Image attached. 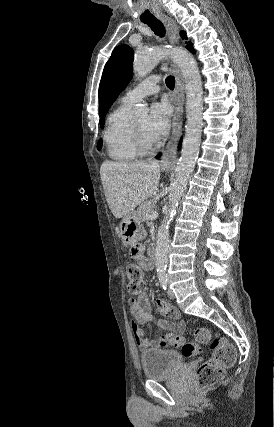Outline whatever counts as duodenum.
Segmentation results:
<instances>
[{"label":"duodenum","mask_w":274,"mask_h":427,"mask_svg":"<svg viewBox=\"0 0 274 427\" xmlns=\"http://www.w3.org/2000/svg\"><path fill=\"white\" fill-rule=\"evenodd\" d=\"M149 254H150L151 257L155 256V254H156V247L154 245L150 247Z\"/></svg>","instance_id":"1"}]
</instances>
